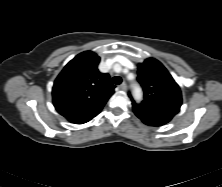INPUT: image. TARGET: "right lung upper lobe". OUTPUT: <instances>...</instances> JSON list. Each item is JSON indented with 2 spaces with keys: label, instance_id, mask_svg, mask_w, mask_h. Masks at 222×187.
<instances>
[{
  "label": "right lung upper lobe",
  "instance_id": "cb5924a9",
  "mask_svg": "<svg viewBox=\"0 0 222 187\" xmlns=\"http://www.w3.org/2000/svg\"><path fill=\"white\" fill-rule=\"evenodd\" d=\"M100 57L85 51L73 58L54 82L56 110L67 120L83 124L95 117L114 93L109 74L99 72Z\"/></svg>",
  "mask_w": 222,
  "mask_h": 187
}]
</instances>
